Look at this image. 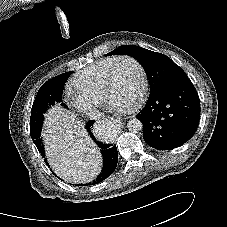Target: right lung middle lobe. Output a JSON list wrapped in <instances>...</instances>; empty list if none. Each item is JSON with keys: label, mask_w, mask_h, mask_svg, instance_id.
I'll return each instance as SVG.
<instances>
[{"label": "right lung middle lobe", "mask_w": 227, "mask_h": 227, "mask_svg": "<svg viewBox=\"0 0 227 227\" xmlns=\"http://www.w3.org/2000/svg\"><path fill=\"white\" fill-rule=\"evenodd\" d=\"M70 72L63 73L45 82L39 89L30 117V136L39 152L44 156V148L42 145L41 129L43 124V113L52 105L62 101L63 87L68 80ZM65 106V103H61Z\"/></svg>", "instance_id": "right-lung-middle-lobe-1"}]
</instances>
